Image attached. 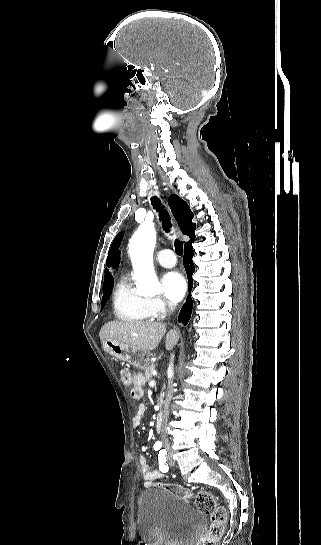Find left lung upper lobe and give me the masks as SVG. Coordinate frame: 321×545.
I'll use <instances>...</instances> for the list:
<instances>
[{
    "label": "left lung upper lobe",
    "mask_w": 321,
    "mask_h": 545,
    "mask_svg": "<svg viewBox=\"0 0 321 545\" xmlns=\"http://www.w3.org/2000/svg\"><path fill=\"white\" fill-rule=\"evenodd\" d=\"M119 261H120V256H119V253H118L117 258H116V260H115V262H114L113 267H116V266L118 265Z\"/></svg>",
    "instance_id": "5c2ea615"
}]
</instances>
